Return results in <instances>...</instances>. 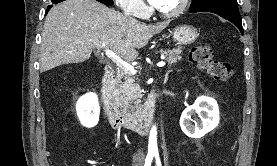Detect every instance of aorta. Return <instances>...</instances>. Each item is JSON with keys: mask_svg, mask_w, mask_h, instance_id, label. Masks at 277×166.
Segmentation results:
<instances>
[{"mask_svg": "<svg viewBox=\"0 0 277 166\" xmlns=\"http://www.w3.org/2000/svg\"><path fill=\"white\" fill-rule=\"evenodd\" d=\"M149 150H157V129L152 127L149 135Z\"/></svg>", "mask_w": 277, "mask_h": 166, "instance_id": "1", "label": "aorta"}]
</instances>
